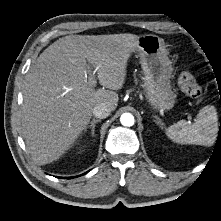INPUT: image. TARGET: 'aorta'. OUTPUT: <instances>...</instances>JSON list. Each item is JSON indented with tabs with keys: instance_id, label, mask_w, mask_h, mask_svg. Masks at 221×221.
Listing matches in <instances>:
<instances>
[{
	"instance_id": "obj_1",
	"label": "aorta",
	"mask_w": 221,
	"mask_h": 221,
	"mask_svg": "<svg viewBox=\"0 0 221 221\" xmlns=\"http://www.w3.org/2000/svg\"><path fill=\"white\" fill-rule=\"evenodd\" d=\"M120 122L123 126L130 127L134 124V116L131 113H123Z\"/></svg>"
}]
</instances>
